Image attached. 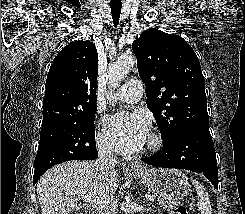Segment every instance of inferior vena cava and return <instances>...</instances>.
I'll use <instances>...</instances> for the list:
<instances>
[{
	"instance_id": "602c4592",
	"label": "inferior vena cava",
	"mask_w": 245,
	"mask_h": 214,
	"mask_svg": "<svg viewBox=\"0 0 245 214\" xmlns=\"http://www.w3.org/2000/svg\"><path fill=\"white\" fill-rule=\"evenodd\" d=\"M97 149L99 156L95 163L96 167L107 171L114 169L117 160L114 157L112 150L102 141H97Z\"/></svg>"
}]
</instances>
